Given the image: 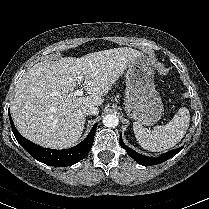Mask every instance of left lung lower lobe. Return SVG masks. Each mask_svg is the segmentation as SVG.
<instances>
[{
	"mask_svg": "<svg viewBox=\"0 0 209 209\" xmlns=\"http://www.w3.org/2000/svg\"><path fill=\"white\" fill-rule=\"evenodd\" d=\"M119 141H120L121 147L127 151L128 155L131 156L133 159H135L139 164H141L143 166L160 164V163L168 160L169 158L173 157L174 155H176L178 152H180L183 149V147H180V148L171 150L167 153H164L161 156H159L158 158H151V157L141 155V154L135 152L134 150H132L131 148L127 147L123 143L121 136H120Z\"/></svg>",
	"mask_w": 209,
	"mask_h": 209,
	"instance_id": "1",
	"label": "left lung lower lobe"
}]
</instances>
